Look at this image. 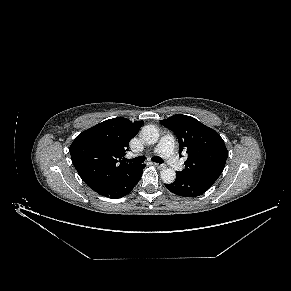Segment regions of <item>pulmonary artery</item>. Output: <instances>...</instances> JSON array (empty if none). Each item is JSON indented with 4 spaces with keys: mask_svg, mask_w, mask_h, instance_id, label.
<instances>
[{
    "mask_svg": "<svg viewBox=\"0 0 291 291\" xmlns=\"http://www.w3.org/2000/svg\"><path fill=\"white\" fill-rule=\"evenodd\" d=\"M175 140L172 135H165L162 137L158 145L154 148L153 152L161 154L168 164L175 170L183 168L182 162L174 152Z\"/></svg>",
    "mask_w": 291,
    "mask_h": 291,
    "instance_id": "e3ab8cb5",
    "label": "pulmonary artery"
}]
</instances>
